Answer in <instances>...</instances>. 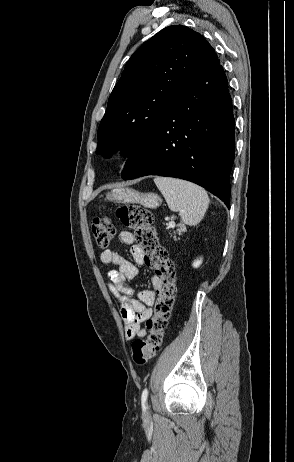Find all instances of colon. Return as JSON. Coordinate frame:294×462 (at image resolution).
I'll use <instances>...</instances> for the list:
<instances>
[{
  "label": "colon",
  "mask_w": 294,
  "mask_h": 462,
  "mask_svg": "<svg viewBox=\"0 0 294 462\" xmlns=\"http://www.w3.org/2000/svg\"><path fill=\"white\" fill-rule=\"evenodd\" d=\"M116 216L134 232L145 264L154 270L162 282L152 316L146 320L147 336L132 343L133 361L144 365L156 355L163 341L176 296L175 269L167 250L159 242L149 210L140 205H124L116 210ZM91 231L96 244L101 248L109 245L115 233L112 221L105 216L92 218Z\"/></svg>",
  "instance_id": "colon-1"
}]
</instances>
